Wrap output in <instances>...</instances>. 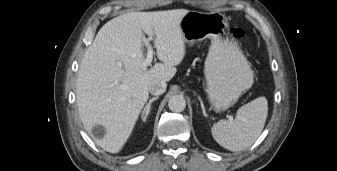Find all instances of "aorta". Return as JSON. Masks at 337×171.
I'll list each match as a JSON object with an SVG mask.
<instances>
[{"instance_id": "aorta-1", "label": "aorta", "mask_w": 337, "mask_h": 171, "mask_svg": "<svg viewBox=\"0 0 337 171\" xmlns=\"http://www.w3.org/2000/svg\"><path fill=\"white\" fill-rule=\"evenodd\" d=\"M168 106L173 112H182L186 107V100L181 95H173L169 99Z\"/></svg>"}]
</instances>
